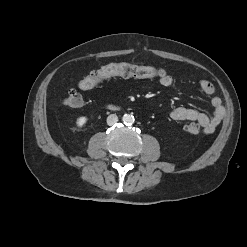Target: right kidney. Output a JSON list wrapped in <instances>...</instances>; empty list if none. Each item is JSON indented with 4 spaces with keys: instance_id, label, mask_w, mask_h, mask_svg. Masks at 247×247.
<instances>
[{
    "instance_id": "ca27d5eb",
    "label": "right kidney",
    "mask_w": 247,
    "mask_h": 247,
    "mask_svg": "<svg viewBox=\"0 0 247 247\" xmlns=\"http://www.w3.org/2000/svg\"><path fill=\"white\" fill-rule=\"evenodd\" d=\"M86 122H87V117L82 116V117H79V118L77 119L76 124H77V126H78L79 128H81V127H83V126L86 124Z\"/></svg>"
}]
</instances>
